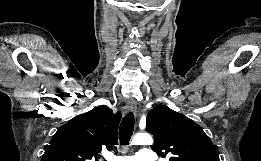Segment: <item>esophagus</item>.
Segmentation results:
<instances>
[{
	"label": "esophagus",
	"mask_w": 261,
	"mask_h": 161,
	"mask_svg": "<svg viewBox=\"0 0 261 161\" xmlns=\"http://www.w3.org/2000/svg\"><path fill=\"white\" fill-rule=\"evenodd\" d=\"M127 110L129 112H136L137 110V102L133 98L127 100Z\"/></svg>",
	"instance_id": "obj_1"
}]
</instances>
